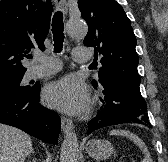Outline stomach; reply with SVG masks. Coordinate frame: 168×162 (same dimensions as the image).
<instances>
[{
	"label": "stomach",
	"mask_w": 168,
	"mask_h": 162,
	"mask_svg": "<svg viewBox=\"0 0 168 162\" xmlns=\"http://www.w3.org/2000/svg\"><path fill=\"white\" fill-rule=\"evenodd\" d=\"M86 152L96 160H105L113 154V146L107 140L92 139L86 144Z\"/></svg>",
	"instance_id": "0dacf381"
}]
</instances>
